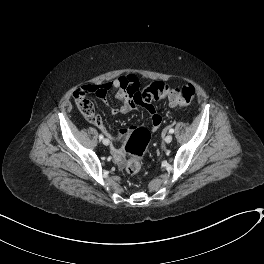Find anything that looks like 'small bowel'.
Returning <instances> with one entry per match:
<instances>
[{
	"label": "small bowel",
	"instance_id": "small-bowel-1",
	"mask_svg": "<svg viewBox=\"0 0 264 264\" xmlns=\"http://www.w3.org/2000/svg\"><path fill=\"white\" fill-rule=\"evenodd\" d=\"M141 87V82L134 74H125L120 77L115 78L114 80L101 84L96 87L95 94L97 97L106 101L107 99V91L110 88H114L116 90V97L120 101V107L115 110L118 113H128L135 109V104L133 101V95L136 91H138ZM172 106H175L180 103L170 102ZM147 113L149 114V125L152 130L158 129L161 124V117L157 113L154 107L146 106L145 107ZM114 111V110H113ZM97 128L100 129L105 135H107L113 142H120L126 137L130 135L136 126L122 127L119 129L117 134L112 133L107 125L100 120L99 123L96 124ZM111 155L114 158L115 163L119 167H123L126 161L125 154L120 145H114L111 148Z\"/></svg>",
	"mask_w": 264,
	"mask_h": 264
}]
</instances>
